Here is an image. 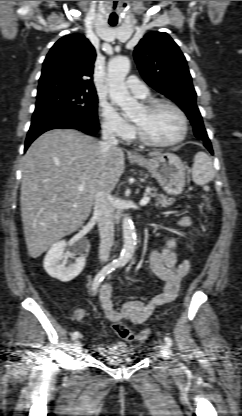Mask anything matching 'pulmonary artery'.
Returning <instances> with one entry per match:
<instances>
[{"label": "pulmonary artery", "mask_w": 242, "mask_h": 416, "mask_svg": "<svg viewBox=\"0 0 242 416\" xmlns=\"http://www.w3.org/2000/svg\"><path fill=\"white\" fill-rule=\"evenodd\" d=\"M126 86L138 98H145L149 94L146 85L135 76H130L127 79Z\"/></svg>", "instance_id": "1"}]
</instances>
